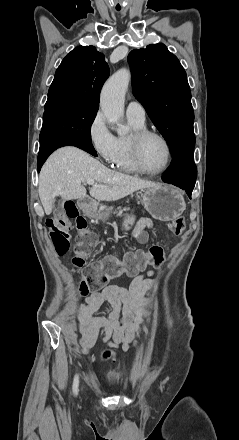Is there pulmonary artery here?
<instances>
[{
	"label": "pulmonary artery",
	"instance_id": "e3ab8cb5",
	"mask_svg": "<svg viewBox=\"0 0 239 440\" xmlns=\"http://www.w3.org/2000/svg\"><path fill=\"white\" fill-rule=\"evenodd\" d=\"M126 115L129 120L142 124L145 122L146 112L143 105L137 100H130L127 108Z\"/></svg>",
	"mask_w": 239,
	"mask_h": 440
}]
</instances>
